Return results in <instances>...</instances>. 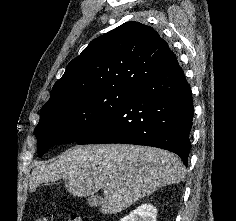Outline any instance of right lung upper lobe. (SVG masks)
Here are the masks:
<instances>
[{
	"mask_svg": "<svg viewBox=\"0 0 236 221\" xmlns=\"http://www.w3.org/2000/svg\"><path fill=\"white\" fill-rule=\"evenodd\" d=\"M176 61L166 41L152 27L126 22L92 40L68 64L43 107L65 104L98 92L135 90Z\"/></svg>",
	"mask_w": 236,
	"mask_h": 221,
	"instance_id": "obj_1",
	"label": "right lung upper lobe"
}]
</instances>
